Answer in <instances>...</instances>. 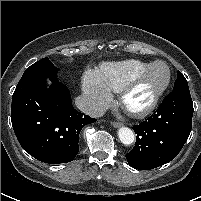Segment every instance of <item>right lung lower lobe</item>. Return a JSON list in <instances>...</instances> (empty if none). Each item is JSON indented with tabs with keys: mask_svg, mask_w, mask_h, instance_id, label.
Segmentation results:
<instances>
[{
	"mask_svg": "<svg viewBox=\"0 0 201 201\" xmlns=\"http://www.w3.org/2000/svg\"><path fill=\"white\" fill-rule=\"evenodd\" d=\"M55 66L29 67L12 96L11 122L22 148L35 159L59 164L74 160L81 129L96 121L73 108ZM52 85L46 89L45 80Z\"/></svg>",
	"mask_w": 201,
	"mask_h": 201,
	"instance_id": "obj_1",
	"label": "right lung lower lobe"
}]
</instances>
